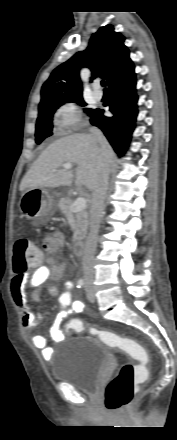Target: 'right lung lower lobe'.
I'll list each match as a JSON object with an SVG mask.
<instances>
[{
	"mask_svg": "<svg viewBox=\"0 0 177 440\" xmlns=\"http://www.w3.org/2000/svg\"><path fill=\"white\" fill-rule=\"evenodd\" d=\"M108 86L111 97L104 106H109L112 116H104L102 109H93L89 113L90 122L103 131L116 153L124 155L138 114L134 65L114 78Z\"/></svg>",
	"mask_w": 177,
	"mask_h": 440,
	"instance_id": "98d812e1",
	"label": "right lung lower lobe"
}]
</instances>
